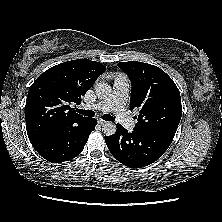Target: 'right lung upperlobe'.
<instances>
[{
	"label": "right lung upper lobe",
	"instance_id": "cb5924a9",
	"mask_svg": "<svg viewBox=\"0 0 222 222\" xmlns=\"http://www.w3.org/2000/svg\"><path fill=\"white\" fill-rule=\"evenodd\" d=\"M104 72L103 64L78 59L58 64L42 73L31 85L25 105L30 142L87 120L88 117L77 114L70 104H80L81 97Z\"/></svg>",
	"mask_w": 222,
	"mask_h": 222
}]
</instances>
